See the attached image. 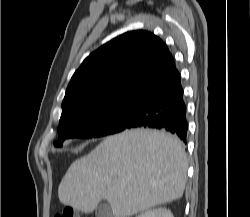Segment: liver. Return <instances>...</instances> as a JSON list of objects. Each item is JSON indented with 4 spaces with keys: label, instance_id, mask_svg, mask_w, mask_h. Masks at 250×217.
<instances>
[{
    "label": "liver",
    "instance_id": "obj_1",
    "mask_svg": "<svg viewBox=\"0 0 250 217\" xmlns=\"http://www.w3.org/2000/svg\"><path fill=\"white\" fill-rule=\"evenodd\" d=\"M188 163L169 133L125 130L74 161L58 187L62 204L84 213L107 200L114 217H129L182 197Z\"/></svg>",
    "mask_w": 250,
    "mask_h": 217
}]
</instances>
